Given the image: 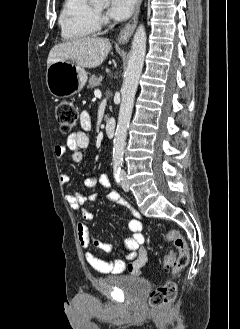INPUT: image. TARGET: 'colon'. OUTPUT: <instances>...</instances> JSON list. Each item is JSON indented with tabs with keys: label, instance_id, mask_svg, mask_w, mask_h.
<instances>
[{
	"label": "colon",
	"instance_id": "obj_1",
	"mask_svg": "<svg viewBox=\"0 0 240 329\" xmlns=\"http://www.w3.org/2000/svg\"><path fill=\"white\" fill-rule=\"evenodd\" d=\"M56 119L60 130L68 133L73 130L79 121V108L72 102L62 101L55 109ZM167 238L173 242L177 253L167 252L164 257L165 268H171L173 272H179L189 263V248L185 238L177 230L167 232ZM177 285L173 281H167L156 287L149 296V302L155 307L170 305L176 298Z\"/></svg>",
	"mask_w": 240,
	"mask_h": 329
}]
</instances>
